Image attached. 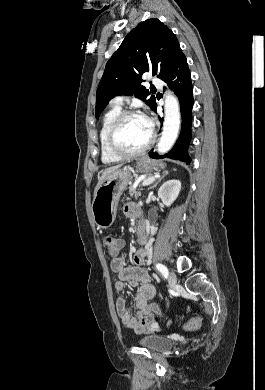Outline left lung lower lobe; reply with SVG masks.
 Returning <instances> with one entry per match:
<instances>
[{
    "mask_svg": "<svg viewBox=\"0 0 265 390\" xmlns=\"http://www.w3.org/2000/svg\"><path fill=\"white\" fill-rule=\"evenodd\" d=\"M163 81L171 86L179 99L182 115L181 133L171 151L165 155L159 156L156 152L151 150L149 156L156 159L171 158L190 163L191 159L188 156L187 149L191 140L193 87L187 59L183 53L178 56L170 73ZM156 107L157 105L155 106L154 111H156ZM159 119L162 121L160 117Z\"/></svg>",
    "mask_w": 265,
    "mask_h": 390,
    "instance_id": "1",
    "label": "left lung lower lobe"
}]
</instances>
